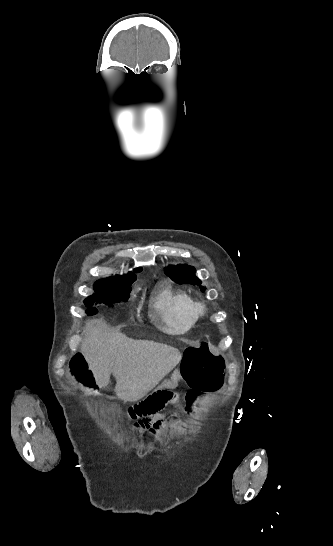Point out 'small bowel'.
I'll use <instances>...</instances> for the list:
<instances>
[{"mask_svg":"<svg viewBox=\"0 0 333 546\" xmlns=\"http://www.w3.org/2000/svg\"><path fill=\"white\" fill-rule=\"evenodd\" d=\"M179 372L177 370H174L172 374L170 375V379H158L156 381V387H154V392L156 393H162L163 388L166 389H174L178 385V380L181 378L179 376ZM136 420V418H133ZM179 422V418L176 416H167L164 413H160V411H157L156 414H154L151 418H145L144 421L139 422L135 421V428L138 430H149L152 435H157L159 431L164 426H175Z\"/></svg>","mask_w":333,"mask_h":546,"instance_id":"c3829d8e","label":"small bowel"}]
</instances>
